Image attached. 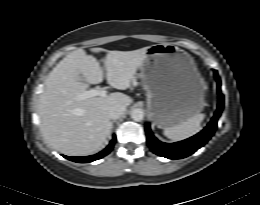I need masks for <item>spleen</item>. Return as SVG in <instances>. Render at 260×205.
Listing matches in <instances>:
<instances>
[{
    "label": "spleen",
    "instance_id": "3e777b00",
    "mask_svg": "<svg viewBox=\"0 0 260 205\" xmlns=\"http://www.w3.org/2000/svg\"><path fill=\"white\" fill-rule=\"evenodd\" d=\"M204 118L205 114L194 115L179 125L165 129L164 135L173 141L187 139L200 131Z\"/></svg>",
    "mask_w": 260,
    "mask_h": 205
}]
</instances>
